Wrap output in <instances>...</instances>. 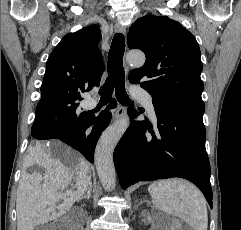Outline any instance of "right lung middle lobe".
<instances>
[{
  "mask_svg": "<svg viewBox=\"0 0 241 230\" xmlns=\"http://www.w3.org/2000/svg\"><path fill=\"white\" fill-rule=\"evenodd\" d=\"M78 106L79 104L52 106L48 109L37 108V112L42 125L50 130L67 133L78 128L87 118L84 112H80ZM33 137L36 138L35 136Z\"/></svg>",
  "mask_w": 241,
  "mask_h": 230,
  "instance_id": "right-lung-middle-lobe-1",
  "label": "right lung middle lobe"
}]
</instances>
